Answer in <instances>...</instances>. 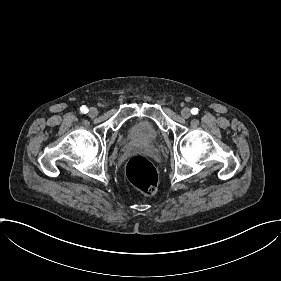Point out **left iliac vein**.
<instances>
[{
  "label": "left iliac vein",
  "instance_id": "left-iliac-vein-1",
  "mask_svg": "<svg viewBox=\"0 0 281 281\" xmlns=\"http://www.w3.org/2000/svg\"><path fill=\"white\" fill-rule=\"evenodd\" d=\"M190 112L191 111L189 108H187V107L182 108L181 113H180L181 118H183V119L189 118L191 115Z\"/></svg>",
  "mask_w": 281,
  "mask_h": 281
}]
</instances>
